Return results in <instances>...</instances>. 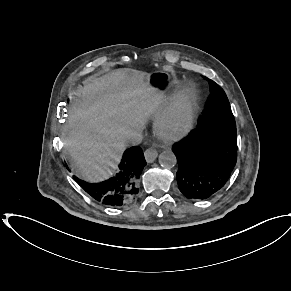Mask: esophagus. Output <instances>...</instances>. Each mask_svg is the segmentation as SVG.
<instances>
[{
	"mask_svg": "<svg viewBox=\"0 0 291 291\" xmlns=\"http://www.w3.org/2000/svg\"><path fill=\"white\" fill-rule=\"evenodd\" d=\"M145 159L148 163H152L158 156V153L155 148L150 147L145 152Z\"/></svg>",
	"mask_w": 291,
	"mask_h": 291,
	"instance_id": "obj_1",
	"label": "esophagus"
}]
</instances>
